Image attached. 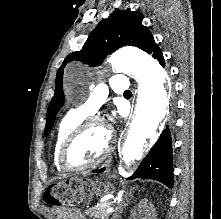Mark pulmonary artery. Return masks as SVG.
<instances>
[{"instance_id": "e3ab8cb5", "label": "pulmonary artery", "mask_w": 221, "mask_h": 219, "mask_svg": "<svg viewBox=\"0 0 221 219\" xmlns=\"http://www.w3.org/2000/svg\"><path fill=\"white\" fill-rule=\"evenodd\" d=\"M110 84L112 91L118 95L126 94L129 91V82L125 75L112 76ZM107 96V87L104 84L98 85L76 110L87 115L94 114L104 104Z\"/></svg>"}]
</instances>
